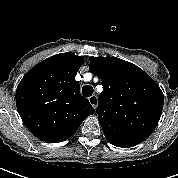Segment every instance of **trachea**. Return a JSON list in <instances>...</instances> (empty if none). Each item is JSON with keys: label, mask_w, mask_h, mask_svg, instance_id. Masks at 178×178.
Segmentation results:
<instances>
[{"label": "trachea", "mask_w": 178, "mask_h": 178, "mask_svg": "<svg viewBox=\"0 0 178 178\" xmlns=\"http://www.w3.org/2000/svg\"><path fill=\"white\" fill-rule=\"evenodd\" d=\"M93 94V87L90 85H86L82 88V95L85 97H90Z\"/></svg>", "instance_id": "trachea-1"}]
</instances>
